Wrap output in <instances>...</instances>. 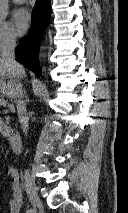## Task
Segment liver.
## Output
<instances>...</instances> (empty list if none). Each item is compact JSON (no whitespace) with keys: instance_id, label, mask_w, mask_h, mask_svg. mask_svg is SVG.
I'll list each match as a JSON object with an SVG mask.
<instances>
[{"instance_id":"6515ba94","label":"liver","mask_w":128,"mask_h":213,"mask_svg":"<svg viewBox=\"0 0 128 213\" xmlns=\"http://www.w3.org/2000/svg\"><path fill=\"white\" fill-rule=\"evenodd\" d=\"M25 76V71L23 69L22 77ZM14 85V78L10 74L9 67L0 58V93L11 98L10 92Z\"/></svg>"}]
</instances>
